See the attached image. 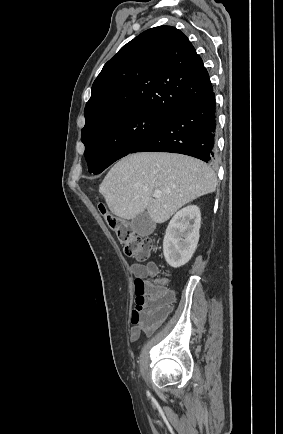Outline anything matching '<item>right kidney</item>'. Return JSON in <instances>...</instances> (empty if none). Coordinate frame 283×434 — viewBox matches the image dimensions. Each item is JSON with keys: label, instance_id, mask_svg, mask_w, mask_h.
Instances as JSON below:
<instances>
[{"label": "right kidney", "instance_id": "right-kidney-1", "mask_svg": "<svg viewBox=\"0 0 283 434\" xmlns=\"http://www.w3.org/2000/svg\"><path fill=\"white\" fill-rule=\"evenodd\" d=\"M200 223V209L194 205L179 210L169 222L163 253L171 267H181L191 259L199 241Z\"/></svg>", "mask_w": 283, "mask_h": 434}]
</instances>
